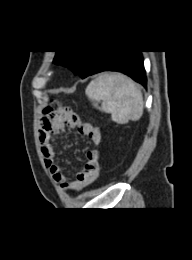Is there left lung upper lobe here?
<instances>
[{
  "label": "left lung upper lobe",
  "instance_id": "left-lung-upper-lobe-1",
  "mask_svg": "<svg viewBox=\"0 0 192 260\" xmlns=\"http://www.w3.org/2000/svg\"><path fill=\"white\" fill-rule=\"evenodd\" d=\"M96 53L97 51H56L54 63L67 66L82 77Z\"/></svg>",
  "mask_w": 192,
  "mask_h": 260
}]
</instances>
